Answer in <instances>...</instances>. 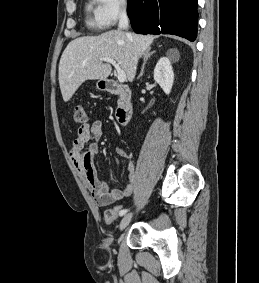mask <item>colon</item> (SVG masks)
I'll return each instance as SVG.
<instances>
[{"mask_svg": "<svg viewBox=\"0 0 259 283\" xmlns=\"http://www.w3.org/2000/svg\"><path fill=\"white\" fill-rule=\"evenodd\" d=\"M87 120L85 110L82 106L78 105L74 108V121L76 123H85ZM120 213L119 208L109 210L106 212L105 218L108 223L113 222Z\"/></svg>", "mask_w": 259, "mask_h": 283, "instance_id": "colon-1", "label": "colon"}]
</instances>
